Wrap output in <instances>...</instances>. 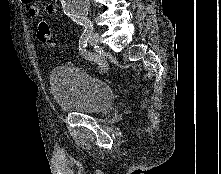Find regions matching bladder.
Wrapping results in <instances>:
<instances>
[{"mask_svg":"<svg viewBox=\"0 0 221 174\" xmlns=\"http://www.w3.org/2000/svg\"><path fill=\"white\" fill-rule=\"evenodd\" d=\"M49 82L56 106L66 113H101L114 101L109 84L80 68L57 67L51 71Z\"/></svg>","mask_w":221,"mask_h":174,"instance_id":"31cf9c89","label":"bladder"}]
</instances>
